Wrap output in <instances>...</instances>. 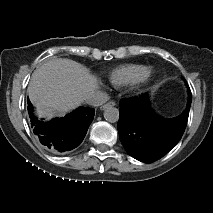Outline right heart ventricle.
I'll return each instance as SVG.
<instances>
[{"mask_svg":"<svg viewBox=\"0 0 213 213\" xmlns=\"http://www.w3.org/2000/svg\"><path fill=\"white\" fill-rule=\"evenodd\" d=\"M146 68L141 64H123L114 68L108 78L115 87L127 86L137 80Z\"/></svg>","mask_w":213,"mask_h":213,"instance_id":"obj_1","label":"right heart ventricle"}]
</instances>
